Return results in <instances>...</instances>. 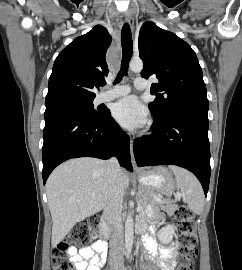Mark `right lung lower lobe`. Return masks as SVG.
Instances as JSON below:
<instances>
[{"mask_svg": "<svg viewBox=\"0 0 242 270\" xmlns=\"http://www.w3.org/2000/svg\"><path fill=\"white\" fill-rule=\"evenodd\" d=\"M42 148L43 182L60 163L77 157L108 159L116 155L132 171L129 136L121 131L110 111L92 116L79 108L45 115Z\"/></svg>", "mask_w": 242, "mask_h": 270, "instance_id": "right-lung-lower-lobe-1", "label": "right lung lower lobe"}]
</instances>
